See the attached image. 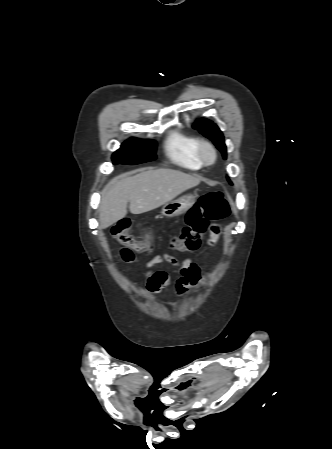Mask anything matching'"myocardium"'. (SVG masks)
<instances>
[{
  "mask_svg": "<svg viewBox=\"0 0 332 449\" xmlns=\"http://www.w3.org/2000/svg\"><path fill=\"white\" fill-rule=\"evenodd\" d=\"M197 156L203 165H211L216 161L217 152L214 145L208 140L201 139L197 144Z\"/></svg>",
  "mask_w": 332,
  "mask_h": 449,
  "instance_id": "obj_1",
  "label": "myocardium"
}]
</instances>
